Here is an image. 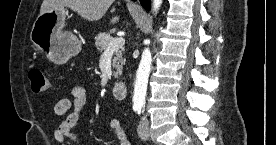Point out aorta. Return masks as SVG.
Here are the masks:
<instances>
[{"instance_id": "aorta-1", "label": "aorta", "mask_w": 276, "mask_h": 145, "mask_svg": "<svg viewBox=\"0 0 276 145\" xmlns=\"http://www.w3.org/2000/svg\"><path fill=\"white\" fill-rule=\"evenodd\" d=\"M162 0H153L152 11L157 13ZM150 40H145V44H149ZM152 64V55L150 49L147 47L144 49L141 57V61L136 73L134 95H133V105L134 107H141L145 103V96L147 92L148 78L150 75Z\"/></svg>"}]
</instances>
